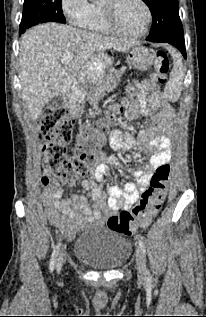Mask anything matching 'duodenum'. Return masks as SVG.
<instances>
[{"label": "duodenum", "instance_id": "1", "mask_svg": "<svg viewBox=\"0 0 206 317\" xmlns=\"http://www.w3.org/2000/svg\"><path fill=\"white\" fill-rule=\"evenodd\" d=\"M65 105L68 115L80 114V102L78 100H66Z\"/></svg>", "mask_w": 206, "mask_h": 317}]
</instances>
